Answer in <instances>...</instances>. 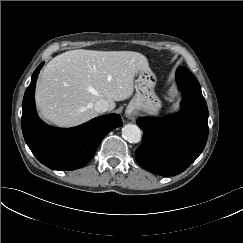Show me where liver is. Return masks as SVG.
I'll use <instances>...</instances> for the list:
<instances>
[{
	"label": "liver",
	"mask_w": 243,
	"mask_h": 243,
	"mask_svg": "<svg viewBox=\"0 0 243 243\" xmlns=\"http://www.w3.org/2000/svg\"><path fill=\"white\" fill-rule=\"evenodd\" d=\"M148 68L147 58L133 51L71 50L54 57L36 86L41 116L58 127H74L96 117L94 104L104 99L109 110L129 98L134 76Z\"/></svg>",
	"instance_id": "obj_1"
}]
</instances>
